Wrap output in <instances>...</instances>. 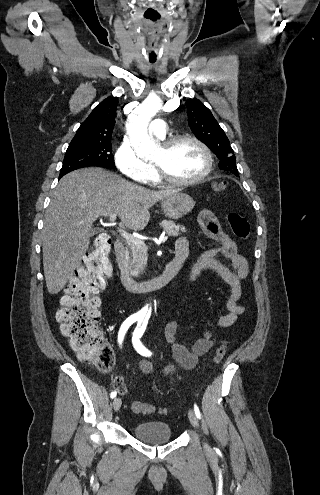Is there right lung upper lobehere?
I'll return each mask as SVG.
<instances>
[{
    "mask_svg": "<svg viewBox=\"0 0 320 495\" xmlns=\"http://www.w3.org/2000/svg\"><path fill=\"white\" fill-rule=\"evenodd\" d=\"M118 97H107L80 125L71 143H111Z\"/></svg>",
    "mask_w": 320,
    "mask_h": 495,
    "instance_id": "1",
    "label": "right lung upper lobe"
}]
</instances>
